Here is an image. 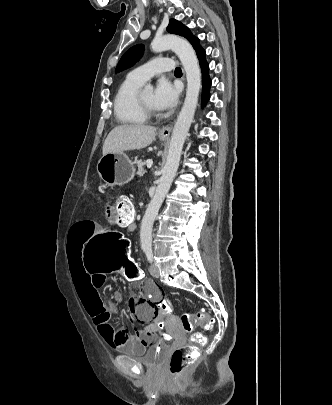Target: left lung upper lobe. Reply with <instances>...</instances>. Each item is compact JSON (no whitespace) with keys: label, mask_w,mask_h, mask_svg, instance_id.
I'll list each match as a JSON object with an SVG mask.
<instances>
[{"label":"left lung upper lobe","mask_w":332,"mask_h":405,"mask_svg":"<svg viewBox=\"0 0 332 405\" xmlns=\"http://www.w3.org/2000/svg\"><path fill=\"white\" fill-rule=\"evenodd\" d=\"M167 31L169 33L177 34L188 39L193 45L195 50L201 48V46L199 45V39L194 37L187 27H185L182 23L178 22L175 19L170 20L169 25L167 27ZM143 51H144L143 45H135L131 47L121 57L116 67V72L122 71L124 69L133 66L136 63V61H138L141 58Z\"/></svg>","instance_id":"5c2ea615"}]
</instances>
